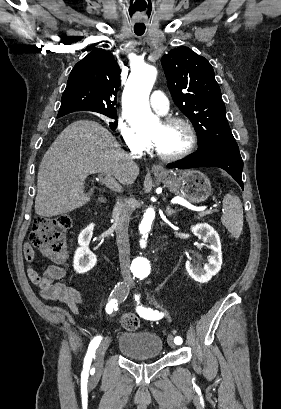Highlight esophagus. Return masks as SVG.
Instances as JSON below:
<instances>
[{
    "instance_id": "34e87169",
    "label": "esophagus",
    "mask_w": 281,
    "mask_h": 409,
    "mask_svg": "<svg viewBox=\"0 0 281 409\" xmlns=\"http://www.w3.org/2000/svg\"><path fill=\"white\" fill-rule=\"evenodd\" d=\"M163 167H161V165H157V164H154L153 166H152V172H154V173H163Z\"/></svg>"
}]
</instances>
